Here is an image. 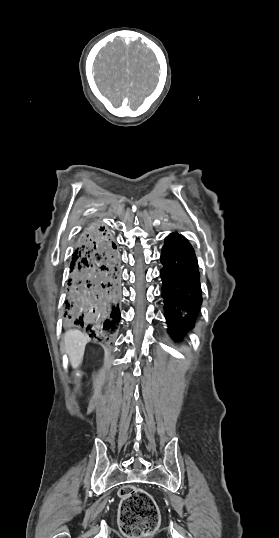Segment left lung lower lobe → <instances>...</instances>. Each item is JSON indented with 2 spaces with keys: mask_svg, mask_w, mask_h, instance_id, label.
Returning <instances> with one entry per match:
<instances>
[{
  "mask_svg": "<svg viewBox=\"0 0 279 538\" xmlns=\"http://www.w3.org/2000/svg\"><path fill=\"white\" fill-rule=\"evenodd\" d=\"M162 298L169 334L180 340L194 326L201 306L197 259L186 238L172 233L161 253Z\"/></svg>",
  "mask_w": 279,
  "mask_h": 538,
  "instance_id": "left-lung-lower-lobe-1",
  "label": "left lung lower lobe"
}]
</instances>
